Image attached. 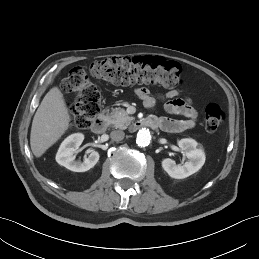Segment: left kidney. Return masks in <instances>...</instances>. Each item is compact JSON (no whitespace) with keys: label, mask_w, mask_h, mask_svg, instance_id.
I'll use <instances>...</instances> for the list:
<instances>
[{"label":"left kidney","mask_w":259,"mask_h":259,"mask_svg":"<svg viewBox=\"0 0 259 259\" xmlns=\"http://www.w3.org/2000/svg\"><path fill=\"white\" fill-rule=\"evenodd\" d=\"M178 145L188 161L181 165L176 164L170 158H166L162 161V167L170 177L183 179L202 168L205 163V153L201 148H198V143L191 138L181 139Z\"/></svg>","instance_id":"obj_1"}]
</instances>
